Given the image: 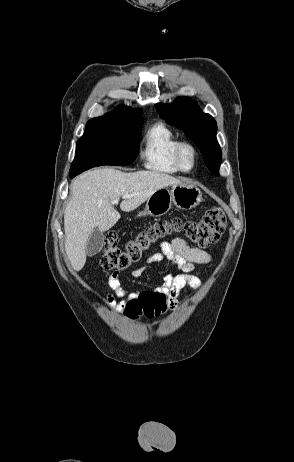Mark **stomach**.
I'll return each instance as SVG.
<instances>
[{
  "label": "stomach",
  "mask_w": 294,
  "mask_h": 462,
  "mask_svg": "<svg viewBox=\"0 0 294 462\" xmlns=\"http://www.w3.org/2000/svg\"><path fill=\"white\" fill-rule=\"evenodd\" d=\"M202 200V192L194 185L180 183L171 189L161 188L155 191L147 200L145 209L138 216L159 217L166 214L172 207L190 210L195 208Z\"/></svg>",
  "instance_id": "1"
}]
</instances>
